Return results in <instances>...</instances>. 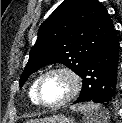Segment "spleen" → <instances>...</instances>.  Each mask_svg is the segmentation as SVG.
I'll return each mask as SVG.
<instances>
[{
  "instance_id": "3e777b00",
  "label": "spleen",
  "mask_w": 122,
  "mask_h": 123,
  "mask_svg": "<svg viewBox=\"0 0 122 123\" xmlns=\"http://www.w3.org/2000/svg\"><path fill=\"white\" fill-rule=\"evenodd\" d=\"M74 110L84 114L86 123H109V112L99 104L93 102L79 104Z\"/></svg>"
}]
</instances>
